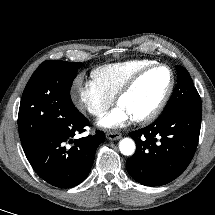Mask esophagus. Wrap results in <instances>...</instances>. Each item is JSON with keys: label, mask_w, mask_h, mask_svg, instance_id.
<instances>
[{"label": "esophagus", "mask_w": 215, "mask_h": 215, "mask_svg": "<svg viewBox=\"0 0 215 215\" xmlns=\"http://www.w3.org/2000/svg\"><path fill=\"white\" fill-rule=\"evenodd\" d=\"M122 137V135L118 132H108L106 134V138L109 140H118Z\"/></svg>", "instance_id": "obj_1"}]
</instances>
